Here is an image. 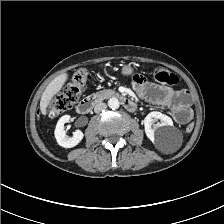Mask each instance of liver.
Segmentation results:
<instances>
[{"label": "liver", "instance_id": "liver-1", "mask_svg": "<svg viewBox=\"0 0 224 224\" xmlns=\"http://www.w3.org/2000/svg\"><path fill=\"white\" fill-rule=\"evenodd\" d=\"M68 80V74L64 73L54 78L46 87L40 101V109L43 115L47 113V107L52 98L62 89L65 82Z\"/></svg>", "mask_w": 224, "mask_h": 224}]
</instances>
